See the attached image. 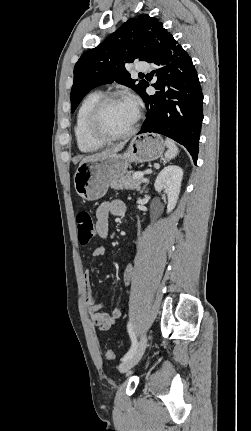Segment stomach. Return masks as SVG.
<instances>
[{
    "mask_svg": "<svg viewBox=\"0 0 251 431\" xmlns=\"http://www.w3.org/2000/svg\"><path fill=\"white\" fill-rule=\"evenodd\" d=\"M164 147L159 135H138L123 153L81 163L74 175L76 193L86 201L100 199L106 194L111 180L125 175L132 162L154 161L162 156Z\"/></svg>",
    "mask_w": 251,
    "mask_h": 431,
    "instance_id": "stomach-1",
    "label": "stomach"
}]
</instances>
